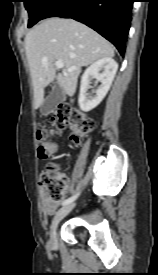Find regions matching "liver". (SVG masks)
<instances>
[{
    "label": "liver",
    "instance_id": "obj_1",
    "mask_svg": "<svg viewBox=\"0 0 158 275\" xmlns=\"http://www.w3.org/2000/svg\"><path fill=\"white\" fill-rule=\"evenodd\" d=\"M25 50L34 89V107L44 102V89L56 79L64 94L73 96L81 68L114 56L113 46L97 32L73 19L52 17L31 29ZM65 70L56 75V61ZM74 68L73 71H67Z\"/></svg>",
    "mask_w": 158,
    "mask_h": 275
}]
</instances>
